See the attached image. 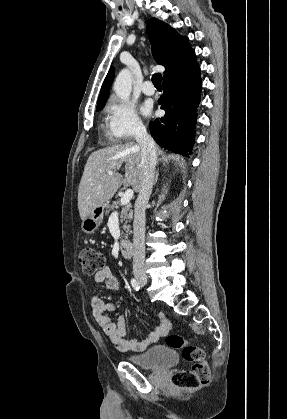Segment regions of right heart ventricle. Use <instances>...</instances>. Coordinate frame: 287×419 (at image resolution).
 Here are the masks:
<instances>
[{
	"label": "right heart ventricle",
	"instance_id": "obj_1",
	"mask_svg": "<svg viewBox=\"0 0 287 419\" xmlns=\"http://www.w3.org/2000/svg\"><path fill=\"white\" fill-rule=\"evenodd\" d=\"M103 130L105 132V135L110 139V140H114L115 138L113 137L111 131H110V127H109V123H107V121H104L103 125Z\"/></svg>",
	"mask_w": 287,
	"mask_h": 419
}]
</instances>
